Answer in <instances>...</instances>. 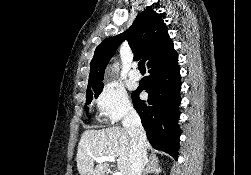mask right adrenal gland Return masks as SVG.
<instances>
[{"label":"right adrenal gland","instance_id":"right-adrenal-gland-1","mask_svg":"<svg viewBox=\"0 0 251 175\" xmlns=\"http://www.w3.org/2000/svg\"><path fill=\"white\" fill-rule=\"evenodd\" d=\"M160 171H162V169L159 167V163L150 161V163H147L143 175H149V173H156V175H159Z\"/></svg>","mask_w":251,"mask_h":175}]
</instances>
